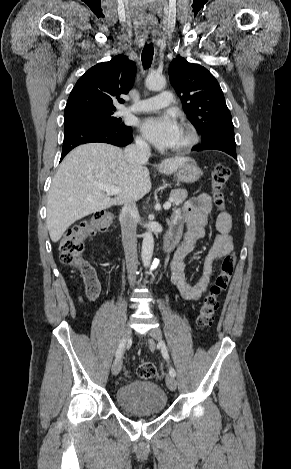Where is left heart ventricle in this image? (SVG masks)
<instances>
[{
    "instance_id": "b2bd125f",
    "label": "left heart ventricle",
    "mask_w": 291,
    "mask_h": 469,
    "mask_svg": "<svg viewBox=\"0 0 291 469\" xmlns=\"http://www.w3.org/2000/svg\"><path fill=\"white\" fill-rule=\"evenodd\" d=\"M186 140H187V134L184 130L181 129L180 133H179V136L177 138V141L174 144L173 148L183 144Z\"/></svg>"
}]
</instances>
